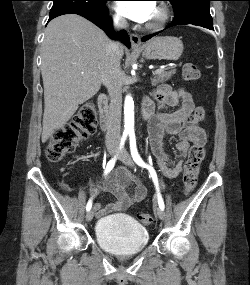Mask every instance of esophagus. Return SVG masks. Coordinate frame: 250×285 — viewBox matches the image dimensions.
Returning <instances> with one entry per match:
<instances>
[{
  "label": "esophagus",
  "mask_w": 250,
  "mask_h": 285,
  "mask_svg": "<svg viewBox=\"0 0 250 285\" xmlns=\"http://www.w3.org/2000/svg\"><path fill=\"white\" fill-rule=\"evenodd\" d=\"M131 46L133 49L141 48V39L137 34H130Z\"/></svg>",
  "instance_id": "34e87169"
}]
</instances>
